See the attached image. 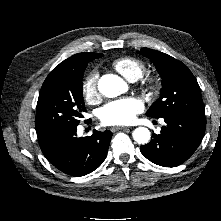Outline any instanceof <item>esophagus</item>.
<instances>
[{"label":"esophagus","mask_w":221,"mask_h":221,"mask_svg":"<svg viewBox=\"0 0 221 221\" xmlns=\"http://www.w3.org/2000/svg\"><path fill=\"white\" fill-rule=\"evenodd\" d=\"M118 130H129L128 127H124V126H114L111 128L112 132L118 131Z\"/></svg>","instance_id":"34e87169"}]
</instances>
